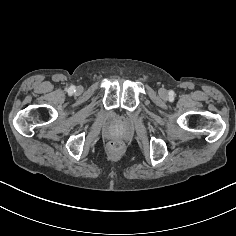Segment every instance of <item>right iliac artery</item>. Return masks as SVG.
Here are the masks:
<instances>
[{
    "instance_id": "1",
    "label": "right iliac artery",
    "mask_w": 236,
    "mask_h": 236,
    "mask_svg": "<svg viewBox=\"0 0 236 236\" xmlns=\"http://www.w3.org/2000/svg\"><path fill=\"white\" fill-rule=\"evenodd\" d=\"M75 91V86H71L70 88H69V92L70 93H73Z\"/></svg>"
}]
</instances>
